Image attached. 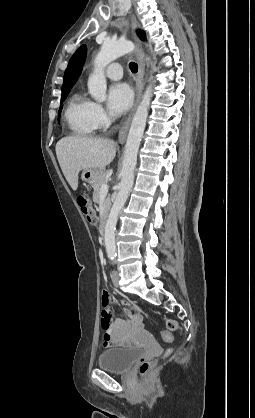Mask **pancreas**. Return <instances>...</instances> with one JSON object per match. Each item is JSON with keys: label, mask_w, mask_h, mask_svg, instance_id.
I'll return each instance as SVG.
<instances>
[{"label": "pancreas", "mask_w": 255, "mask_h": 418, "mask_svg": "<svg viewBox=\"0 0 255 418\" xmlns=\"http://www.w3.org/2000/svg\"><path fill=\"white\" fill-rule=\"evenodd\" d=\"M107 178H108V172L107 171H102L101 174L99 175L96 183L93 185L94 188V193H93V201L95 203H99V198H100V189L101 186L103 184L107 183ZM104 212H103V216L107 213V211L109 210L110 206H111V200L110 197L107 196L106 199L104 200Z\"/></svg>", "instance_id": "1"}]
</instances>
